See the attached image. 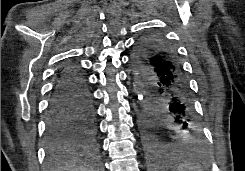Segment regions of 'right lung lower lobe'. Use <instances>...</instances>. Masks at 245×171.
I'll use <instances>...</instances> for the list:
<instances>
[{
	"instance_id": "obj_1",
	"label": "right lung lower lobe",
	"mask_w": 245,
	"mask_h": 171,
	"mask_svg": "<svg viewBox=\"0 0 245 171\" xmlns=\"http://www.w3.org/2000/svg\"><path fill=\"white\" fill-rule=\"evenodd\" d=\"M49 157L57 158L75 146L95 144L96 114L91 90L82 70L67 62L58 73L46 121Z\"/></svg>"
}]
</instances>
